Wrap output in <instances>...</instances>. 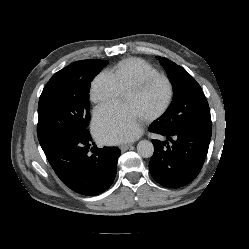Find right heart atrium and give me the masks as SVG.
<instances>
[{"instance_id":"d8ad5b80","label":"right heart atrium","mask_w":249,"mask_h":249,"mask_svg":"<svg viewBox=\"0 0 249 249\" xmlns=\"http://www.w3.org/2000/svg\"><path fill=\"white\" fill-rule=\"evenodd\" d=\"M121 90L110 73L98 74L90 86V99L95 104L112 102L121 95Z\"/></svg>"}]
</instances>
